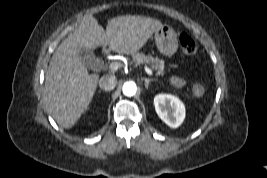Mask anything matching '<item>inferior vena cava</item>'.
<instances>
[{"instance_id": "inferior-vena-cava-1", "label": "inferior vena cava", "mask_w": 267, "mask_h": 178, "mask_svg": "<svg viewBox=\"0 0 267 178\" xmlns=\"http://www.w3.org/2000/svg\"><path fill=\"white\" fill-rule=\"evenodd\" d=\"M117 79L114 75H105L99 80V86L104 91H111L116 87Z\"/></svg>"}]
</instances>
